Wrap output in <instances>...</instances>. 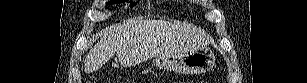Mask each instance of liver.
I'll return each instance as SVG.
<instances>
[{"label":"liver","mask_w":307,"mask_h":83,"mask_svg":"<svg viewBox=\"0 0 307 83\" xmlns=\"http://www.w3.org/2000/svg\"><path fill=\"white\" fill-rule=\"evenodd\" d=\"M210 41L202 29L191 25L128 19L103 30L100 41L85 58V72L98 70L115 53L122 66H130L153 57L176 56L194 46H207Z\"/></svg>","instance_id":"6515ba94"}]
</instances>
